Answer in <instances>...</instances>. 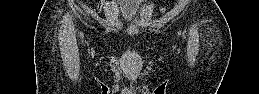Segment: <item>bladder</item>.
<instances>
[{
	"instance_id": "obj_1",
	"label": "bladder",
	"mask_w": 259,
	"mask_h": 94,
	"mask_svg": "<svg viewBox=\"0 0 259 94\" xmlns=\"http://www.w3.org/2000/svg\"><path fill=\"white\" fill-rule=\"evenodd\" d=\"M121 17L127 23H135L139 21L144 13L143 8L136 1L124 3L120 8Z\"/></svg>"
}]
</instances>
